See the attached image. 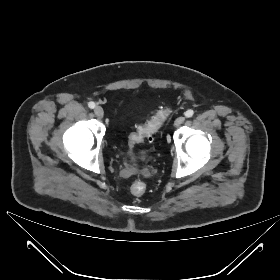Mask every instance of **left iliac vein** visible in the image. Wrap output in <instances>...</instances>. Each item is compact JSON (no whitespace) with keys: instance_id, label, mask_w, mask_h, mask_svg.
<instances>
[{"instance_id":"left-iliac-vein-1","label":"left iliac vein","mask_w":280,"mask_h":280,"mask_svg":"<svg viewBox=\"0 0 280 280\" xmlns=\"http://www.w3.org/2000/svg\"><path fill=\"white\" fill-rule=\"evenodd\" d=\"M185 119L186 118L184 116L178 117L174 122V126L179 127L180 125H182L184 123Z\"/></svg>"}]
</instances>
